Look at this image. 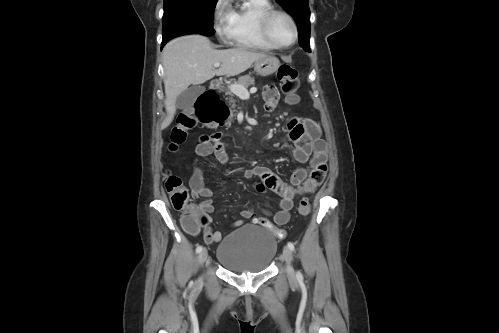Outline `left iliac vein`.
<instances>
[{
	"label": "left iliac vein",
	"instance_id": "obj_1",
	"mask_svg": "<svg viewBox=\"0 0 499 333\" xmlns=\"http://www.w3.org/2000/svg\"><path fill=\"white\" fill-rule=\"evenodd\" d=\"M283 259L286 262V270L287 274L290 280L295 279V272L294 269L292 268L291 262H292V252L288 247L283 248Z\"/></svg>",
	"mask_w": 499,
	"mask_h": 333
}]
</instances>
